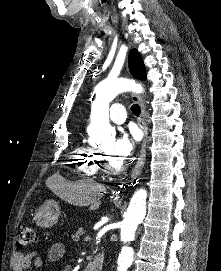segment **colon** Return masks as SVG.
<instances>
[{"instance_id": "5ec220e1", "label": "colon", "mask_w": 221, "mask_h": 271, "mask_svg": "<svg viewBox=\"0 0 221 271\" xmlns=\"http://www.w3.org/2000/svg\"><path fill=\"white\" fill-rule=\"evenodd\" d=\"M38 237L35 229L30 224L21 223L18 228L16 247L18 250H25L29 246L35 245Z\"/></svg>"}]
</instances>
